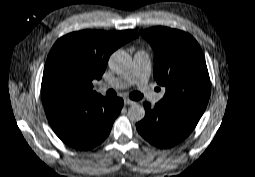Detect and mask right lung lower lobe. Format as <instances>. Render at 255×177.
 <instances>
[{"instance_id":"right-lung-lower-lobe-1","label":"right lung lower lobe","mask_w":255,"mask_h":177,"mask_svg":"<svg viewBox=\"0 0 255 177\" xmlns=\"http://www.w3.org/2000/svg\"><path fill=\"white\" fill-rule=\"evenodd\" d=\"M51 127L66 144L79 150L91 149L110 133L123 100L100 94L44 105Z\"/></svg>"}]
</instances>
